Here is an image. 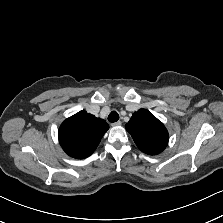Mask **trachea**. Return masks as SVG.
<instances>
[{
  "label": "trachea",
  "mask_w": 223,
  "mask_h": 223,
  "mask_svg": "<svg viewBox=\"0 0 223 223\" xmlns=\"http://www.w3.org/2000/svg\"><path fill=\"white\" fill-rule=\"evenodd\" d=\"M119 119V115L116 111H112L109 116H108V121L109 122H116Z\"/></svg>",
  "instance_id": "obj_1"
}]
</instances>
